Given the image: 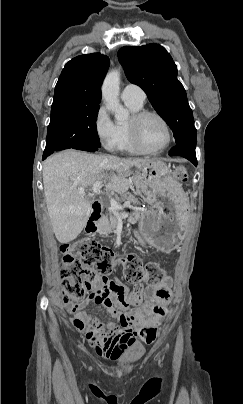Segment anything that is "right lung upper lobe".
I'll return each instance as SVG.
<instances>
[{
	"instance_id": "1",
	"label": "right lung upper lobe",
	"mask_w": 243,
	"mask_h": 404,
	"mask_svg": "<svg viewBox=\"0 0 243 404\" xmlns=\"http://www.w3.org/2000/svg\"><path fill=\"white\" fill-rule=\"evenodd\" d=\"M108 67L109 58L100 53L81 55L70 60L56 84L52 107L99 105L101 84Z\"/></svg>"
}]
</instances>
